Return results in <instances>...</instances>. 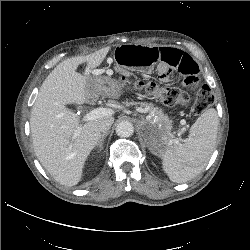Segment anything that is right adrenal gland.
Returning a JSON list of instances; mask_svg holds the SVG:
<instances>
[{
  "label": "right adrenal gland",
  "instance_id": "1",
  "mask_svg": "<svg viewBox=\"0 0 250 250\" xmlns=\"http://www.w3.org/2000/svg\"><path fill=\"white\" fill-rule=\"evenodd\" d=\"M108 135V133H103L100 137V140L98 141V143L96 144V147H99V151H101L103 149V141L105 139V137Z\"/></svg>",
  "mask_w": 250,
  "mask_h": 250
}]
</instances>
